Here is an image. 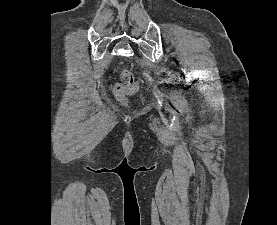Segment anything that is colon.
<instances>
[{
	"label": "colon",
	"mask_w": 277,
	"mask_h": 225,
	"mask_svg": "<svg viewBox=\"0 0 277 225\" xmlns=\"http://www.w3.org/2000/svg\"><path fill=\"white\" fill-rule=\"evenodd\" d=\"M120 76L121 82L114 87L113 92L120 102L126 103L128 96L139 90V85L134 74L130 70H123Z\"/></svg>",
	"instance_id": "obj_1"
}]
</instances>
